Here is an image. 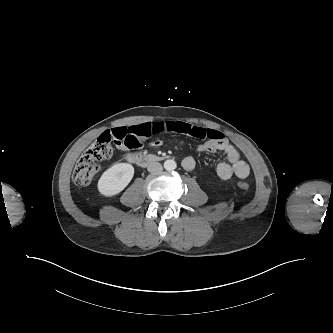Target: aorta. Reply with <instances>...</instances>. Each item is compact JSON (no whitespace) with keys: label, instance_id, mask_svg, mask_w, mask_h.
<instances>
[{"label":"aorta","instance_id":"obj_1","mask_svg":"<svg viewBox=\"0 0 333 333\" xmlns=\"http://www.w3.org/2000/svg\"><path fill=\"white\" fill-rule=\"evenodd\" d=\"M177 167L176 161L174 159H168L164 162V168L167 171H173Z\"/></svg>","mask_w":333,"mask_h":333}]
</instances>
